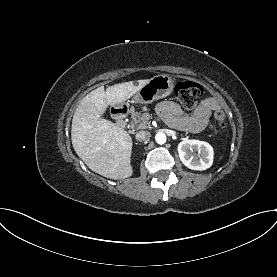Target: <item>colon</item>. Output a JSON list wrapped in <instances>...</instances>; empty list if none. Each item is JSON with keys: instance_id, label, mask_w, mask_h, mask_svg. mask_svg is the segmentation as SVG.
Listing matches in <instances>:
<instances>
[{"instance_id": "colon-1", "label": "colon", "mask_w": 277, "mask_h": 277, "mask_svg": "<svg viewBox=\"0 0 277 277\" xmlns=\"http://www.w3.org/2000/svg\"><path fill=\"white\" fill-rule=\"evenodd\" d=\"M174 93L180 103L186 108H192L203 94L200 84L193 81H180L176 83ZM215 119L218 121L222 130L225 129V115L221 110L215 112Z\"/></svg>"}]
</instances>
